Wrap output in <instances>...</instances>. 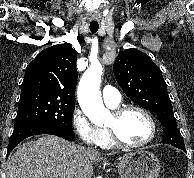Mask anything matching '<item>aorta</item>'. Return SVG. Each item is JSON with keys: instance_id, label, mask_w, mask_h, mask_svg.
I'll return each instance as SVG.
<instances>
[{"instance_id": "aorta-1", "label": "aorta", "mask_w": 194, "mask_h": 178, "mask_svg": "<svg viewBox=\"0 0 194 178\" xmlns=\"http://www.w3.org/2000/svg\"><path fill=\"white\" fill-rule=\"evenodd\" d=\"M103 68L100 63H93L82 75L78 86V102L83 112L95 124H101L108 117L104 107L100 83Z\"/></svg>"}]
</instances>
